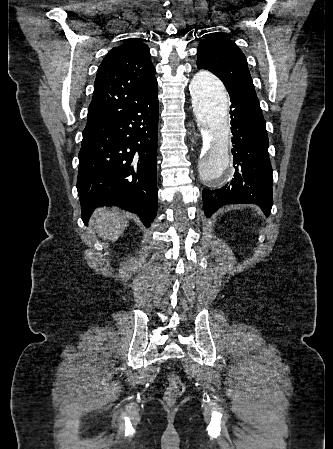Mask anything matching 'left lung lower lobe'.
I'll use <instances>...</instances> for the list:
<instances>
[{
	"mask_svg": "<svg viewBox=\"0 0 333 449\" xmlns=\"http://www.w3.org/2000/svg\"><path fill=\"white\" fill-rule=\"evenodd\" d=\"M234 178L223 188L202 191L204 211L211 216L232 203H254L269 215L272 199V167L268 135L259 102L230 91Z\"/></svg>",
	"mask_w": 333,
	"mask_h": 449,
	"instance_id": "obj_1",
	"label": "left lung lower lobe"
}]
</instances>
